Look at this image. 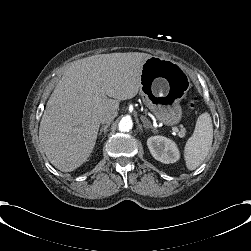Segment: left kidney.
<instances>
[{
  "mask_svg": "<svg viewBox=\"0 0 251 251\" xmlns=\"http://www.w3.org/2000/svg\"><path fill=\"white\" fill-rule=\"evenodd\" d=\"M147 146L152 156L162 163L171 164L180 160L181 153L178 144L163 135L149 137Z\"/></svg>",
  "mask_w": 251,
  "mask_h": 251,
  "instance_id": "1",
  "label": "left kidney"
}]
</instances>
